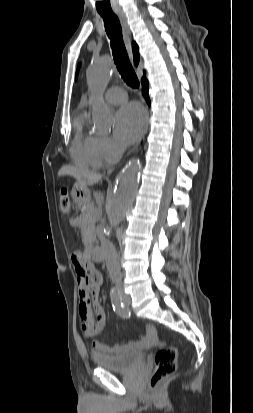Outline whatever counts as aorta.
I'll use <instances>...</instances> for the list:
<instances>
[{
  "label": "aorta",
  "mask_w": 253,
  "mask_h": 413,
  "mask_svg": "<svg viewBox=\"0 0 253 413\" xmlns=\"http://www.w3.org/2000/svg\"><path fill=\"white\" fill-rule=\"evenodd\" d=\"M114 64L109 58L94 60L87 69V83L91 90L90 104L92 120L100 132H108L113 123V113L103 101ZM141 163L138 159L131 160L117 177L116 186L107 206L110 226H116L122 220L126 210L133 204L139 180Z\"/></svg>",
  "instance_id": "762f6f07"
}]
</instances>
